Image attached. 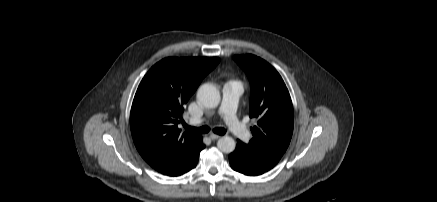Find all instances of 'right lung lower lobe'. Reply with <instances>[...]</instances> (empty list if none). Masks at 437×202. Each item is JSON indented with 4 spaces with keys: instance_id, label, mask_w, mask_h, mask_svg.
<instances>
[{
    "instance_id": "obj_1",
    "label": "right lung lower lobe",
    "mask_w": 437,
    "mask_h": 202,
    "mask_svg": "<svg viewBox=\"0 0 437 202\" xmlns=\"http://www.w3.org/2000/svg\"><path fill=\"white\" fill-rule=\"evenodd\" d=\"M204 148H205V145L203 144L202 137H201V140H200L197 148L194 151H192L181 163H179L173 169L169 170L166 173H162V174L168 175V176H180V175L190 171L191 169L196 167V165L198 163L200 151L203 150Z\"/></svg>"
}]
</instances>
